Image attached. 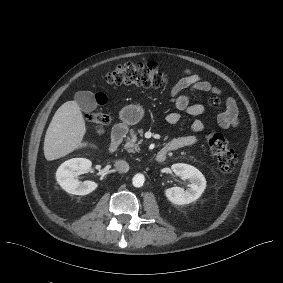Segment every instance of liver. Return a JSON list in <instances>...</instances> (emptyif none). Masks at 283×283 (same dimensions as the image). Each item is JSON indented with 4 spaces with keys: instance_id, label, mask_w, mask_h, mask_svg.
I'll use <instances>...</instances> for the list:
<instances>
[{
    "instance_id": "6515ba94",
    "label": "liver",
    "mask_w": 283,
    "mask_h": 283,
    "mask_svg": "<svg viewBox=\"0 0 283 283\" xmlns=\"http://www.w3.org/2000/svg\"><path fill=\"white\" fill-rule=\"evenodd\" d=\"M86 133L85 121L76 101L62 104L55 112L44 139V155L48 161L63 157L77 148L86 147L82 142ZM97 148L94 144H89Z\"/></svg>"
}]
</instances>
